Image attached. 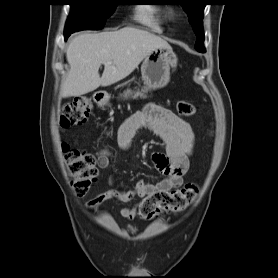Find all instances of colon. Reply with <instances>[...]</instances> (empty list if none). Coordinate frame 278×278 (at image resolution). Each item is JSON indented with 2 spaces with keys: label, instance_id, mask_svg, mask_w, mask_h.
<instances>
[{
  "label": "colon",
  "instance_id": "colon-1",
  "mask_svg": "<svg viewBox=\"0 0 278 278\" xmlns=\"http://www.w3.org/2000/svg\"><path fill=\"white\" fill-rule=\"evenodd\" d=\"M91 110L92 103L87 97L68 102L61 108L60 125L63 128L82 125ZM177 111L182 116L190 117L196 113V107L189 101L181 100L177 103ZM63 149L66 167L72 178V189L76 195L83 196L97 177L96 159L92 154L69 145H64ZM198 193L199 187L195 183H188L177 190L156 191L141 202L140 217L150 220L163 213L182 211L195 200Z\"/></svg>",
  "mask_w": 278,
  "mask_h": 278
}]
</instances>
